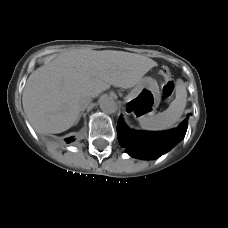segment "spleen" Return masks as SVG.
Wrapping results in <instances>:
<instances>
[{"instance_id": "spleen-1", "label": "spleen", "mask_w": 228, "mask_h": 228, "mask_svg": "<svg viewBox=\"0 0 228 228\" xmlns=\"http://www.w3.org/2000/svg\"><path fill=\"white\" fill-rule=\"evenodd\" d=\"M187 104V90L183 84L176 86V98L169 107L154 116L140 119V126L145 130L161 131L171 128L182 116Z\"/></svg>"}]
</instances>
